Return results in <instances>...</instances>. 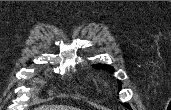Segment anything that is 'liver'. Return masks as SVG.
Here are the masks:
<instances>
[{"mask_svg":"<svg viewBox=\"0 0 171 110\" xmlns=\"http://www.w3.org/2000/svg\"><path fill=\"white\" fill-rule=\"evenodd\" d=\"M35 110H79L72 106H56V105H45V106H39Z\"/></svg>","mask_w":171,"mask_h":110,"instance_id":"6515ba94","label":"liver"}]
</instances>
